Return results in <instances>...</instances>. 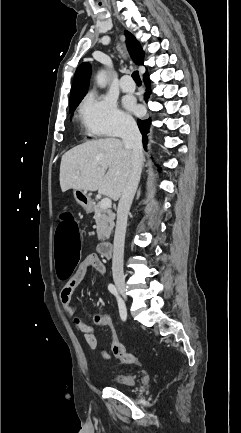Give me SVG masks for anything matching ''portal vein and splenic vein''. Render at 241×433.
I'll return each mask as SVG.
<instances>
[{"instance_id":"18ae733b","label":"portal vein and splenic vein","mask_w":241,"mask_h":433,"mask_svg":"<svg viewBox=\"0 0 241 433\" xmlns=\"http://www.w3.org/2000/svg\"><path fill=\"white\" fill-rule=\"evenodd\" d=\"M111 205H112V201L110 198H103L100 202V206L103 209H108L111 207Z\"/></svg>"}]
</instances>
